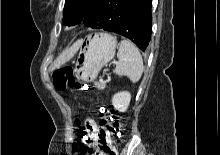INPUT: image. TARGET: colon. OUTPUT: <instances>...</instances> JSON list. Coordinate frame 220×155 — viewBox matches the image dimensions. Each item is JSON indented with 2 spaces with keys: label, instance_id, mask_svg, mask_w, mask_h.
<instances>
[{
  "label": "colon",
  "instance_id": "obj_1",
  "mask_svg": "<svg viewBox=\"0 0 220 155\" xmlns=\"http://www.w3.org/2000/svg\"><path fill=\"white\" fill-rule=\"evenodd\" d=\"M53 84L58 91L67 89L87 90L88 85L81 83L74 75V69L70 66L57 69L53 73ZM97 103V101H94ZM98 114L100 118L99 131L95 141L88 146L83 155H117L115 145H119L122 133L119 132L118 117L110 109L99 104ZM78 128H83V123H78ZM78 134H87V129H78ZM77 144H90L89 135H80Z\"/></svg>",
  "mask_w": 220,
  "mask_h": 155
}]
</instances>
